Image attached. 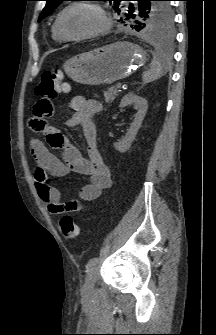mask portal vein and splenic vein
<instances>
[{
	"label": "portal vein and splenic vein",
	"instance_id": "obj_1",
	"mask_svg": "<svg viewBox=\"0 0 216 335\" xmlns=\"http://www.w3.org/2000/svg\"><path fill=\"white\" fill-rule=\"evenodd\" d=\"M122 87V83L121 82H118L117 84H116V89H120Z\"/></svg>",
	"mask_w": 216,
	"mask_h": 335
}]
</instances>
